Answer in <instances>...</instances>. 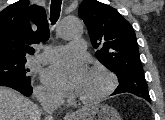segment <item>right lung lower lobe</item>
<instances>
[{
  "instance_id": "98d812e1",
  "label": "right lung lower lobe",
  "mask_w": 165,
  "mask_h": 120,
  "mask_svg": "<svg viewBox=\"0 0 165 120\" xmlns=\"http://www.w3.org/2000/svg\"><path fill=\"white\" fill-rule=\"evenodd\" d=\"M0 86L11 87L25 96H30L32 94V87L30 84L15 81V80H0Z\"/></svg>"
}]
</instances>
